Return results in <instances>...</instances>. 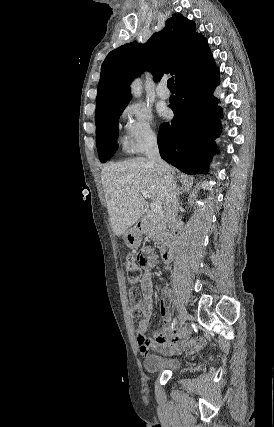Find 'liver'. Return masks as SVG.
<instances>
[{
	"instance_id": "obj_1",
	"label": "liver",
	"mask_w": 274,
	"mask_h": 427,
	"mask_svg": "<svg viewBox=\"0 0 274 427\" xmlns=\"http://www.w3.org/2000/svg\"><path fill=\"white\" fill-rule=\"evenodd\" d=\"M175 172L170 166L168 172H159L157 164L149 158L104 166L101 180L115 235H122L142 217L145 206L142 190L150 194L153 202L164 204L167 188L175 186Z\"/></svg>"
}]
</instances>
